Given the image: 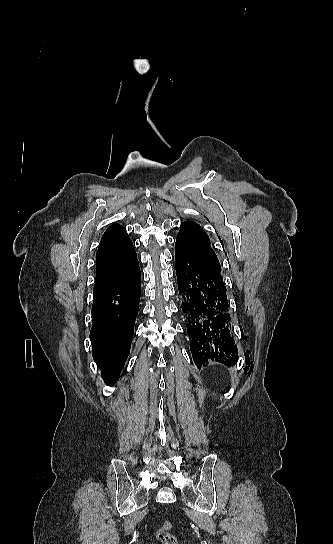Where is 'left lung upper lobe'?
<instances>
[{"mask_svg": "<svg viewBox=\"0 0 333 544\" xmlns=\"http://www.w3.org/2000/svg\"><path fill=\"white\" fill-rule=\"evenodd\" d=\"M176 249H182L199 261L221 271L219 260L212 250L210 239L203 228L193 221L181 224L175 243Z\"/></svg>", "mask_w": 333, "mask_h": 544, "instance_id": "obj_1", "label": "left lung upper lobe"}]
</instances>
